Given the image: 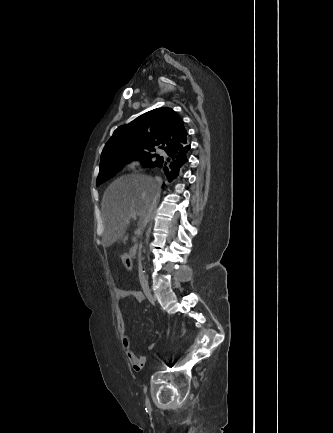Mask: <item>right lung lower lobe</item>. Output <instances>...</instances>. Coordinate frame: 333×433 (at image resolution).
Masks as SVG:
<instances>
[{
    "label": "right lung lower lobe",
    "mask_w": 333,
    "mask_h": 433,
    "mask_svg": "<svg viewBox=\"0 0 333 433\" xmlns=\"http://www.w3.org/2000/svg\"><path fill=\"white\" fill-rule=\"evenodd\" d=\"M189 149L190 145L187 144L183 147L167 152L171 159L162 157L154 167L159 168L169 182L173 181L188 162Z\"/></svg>",
    "instance_id": "obj_1"
}]
</instances>
